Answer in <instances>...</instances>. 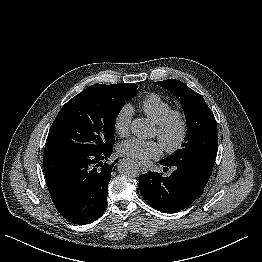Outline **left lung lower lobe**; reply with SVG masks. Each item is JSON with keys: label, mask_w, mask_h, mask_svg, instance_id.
<instances>
[{"label": "left lung lower lobe", "mask_w": 262, "mask_h": 262, "mask_svg": "<svg viewBox=\"0 0 262 262\" xmlns=\"http://www.w3.org/2000/svg\"><path fill=\"white\" fill-rule=\"evenodd\" d=\"M164 169L172 167L169 177L157 172L140 175L141 196L156 210L175 213L188 207L204 190L214 163L180 161L170 164L162 160Z\"/></svg>", "instance_id": "1"}]
</instances>
